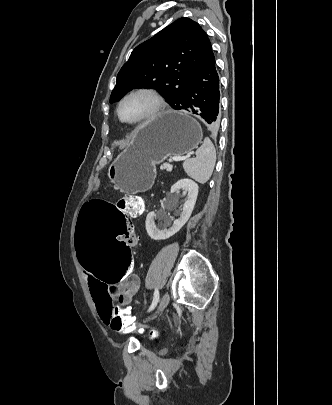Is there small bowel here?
Instances as JSON below:
<instances>
[{"label":"small bowel","mask_w":332,"mask_h":405,"mask_svg":"<svg viewBox=\"0 0 332 405\" xmlns=\"http://www.w3.org/2000/svg\"><path fill=\"white\" fill-rule=\"evenodd\" d=\"M138 241L139 236L136 232V245ZM84 276L97 313L106 324H110V310L114 301H117L121 307H129L133 296L140 288V278L136 273L132 275L131 281L122 282L120 287H107L105 281H97L96 275H85L84 272Z\"/></svg>","instance_id":"1"}]
</instances>
